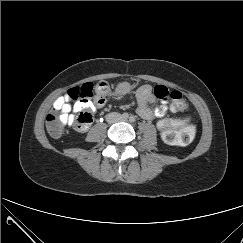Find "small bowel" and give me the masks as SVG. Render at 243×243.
<instances>
[{
    "label": "small bowel",
    "mask_w": 243,
    "mask_h": 243,
    "mask_svg": "<svg viewBox=\"0 0 243 243\" xmlns=\"http://www.w3.org/2000/svg\"><path fill=\"white\" fill-rule=\"evenodd\" d=\"M128 83H120L115 93L118 95L124 94L129 90ZM107 95V94H106ZM106 95H97L93 101H76L71 103L68 95H63L57 98L53 104L54 110L60 111V119L65 125H72L75 120V114L88 110L91 113L97 108H101L106 103ZM137 97V113L140 117L146 120H152L154 118H162L165 116L168 106L166 102H162L161 105L151 107L150 104L154 103L156 97L152 91L150 85H141L136 91ZM88 128L85 127L80 131H85Z\"/></svg>",
    "instance_id": "c3829d8e"
}]
</instances>
